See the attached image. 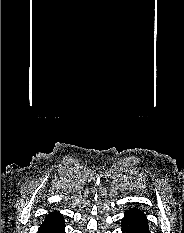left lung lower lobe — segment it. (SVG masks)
Listing matches in <instances>:
<instances>
[{"mask_svg":"<svg viewBox=\"0 0 184 233\" xmlns=\"http://www.w3.org/2000/svg\"><path fill=\"white\" fill-rule=\"evenodd\" d=\"M121 227L122 233H150L148 220L138 208H130L125 211Z\"/></svg>","mask_w":184,"mask_h":233,"instance_id":"left-lung-lower-lobe-1","label":"left lung lower lobe"}]
</instances>
